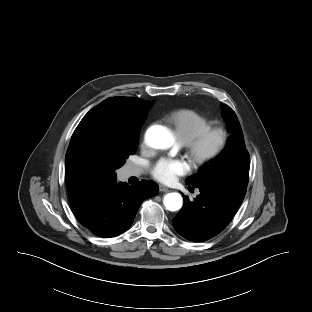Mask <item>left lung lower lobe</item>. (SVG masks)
Segmentation results:
<instances>
[{"label":"left lung lower lobe","mask_w":312,"mask_h":312,"mask_svg":"<svg viewBox=\"0 0 312 312\" xmlns=\"http://www.w3.org/2000/svg\"><path fill=\"white\" fill-rule=\"evenodd\" d=\"M198 188L200 194L193 202L183 195L184 205L172 222L182 237L203 242L224 230L241 204L219 189Z\"/></svg>","instance_id":"0a47b994"}]
</instances>
